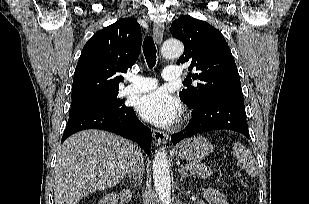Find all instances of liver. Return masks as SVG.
<instances>
[{
  "label": "liver",
  "instance_id": "1",
  "mask_svg": "<svg viewBox=\"0 0 309 204\" xmlns=\"http://www.w3.org/2000/svg\"><path fill=\"white\" fill-rule=\"evenodd\" d=\"M138 153L135 144L106 131L85 130L72 135L57 153L55 204H77L90 193L116 186Z\"/></svg>",
  "mask_w": 309,
  "mask_h": 204
}]
</instances>
